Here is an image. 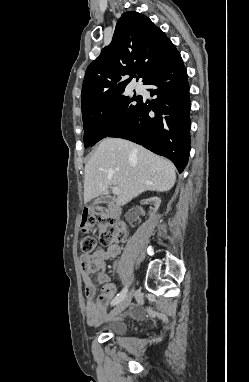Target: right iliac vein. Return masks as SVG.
Here are the masks:
<instances>
[{"label": "right iliac vein", "instance_id": "right-iliac-vein-1", "mask_svg": "<svg viewBox=\"0 0 249 382\" xmlns=\"http://www.w3.org/2000/svg\"><path fill=\"white\" fill-rule=\"evenodd\" d=\"M134 294V290H131L117 305L116 307L111 311L110 315L115 316L122 312L131 302L132 297Z\"/></svg>", "mask_w": 249, "mask_h": 382}]
</instances>
